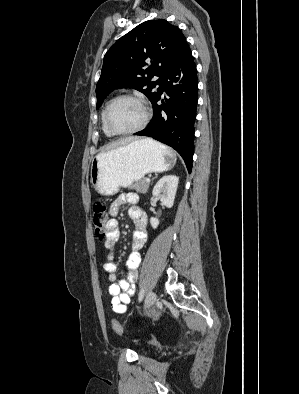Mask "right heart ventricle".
Here are the masks:
<instances>
[{
  "label": "right heart ventricle",
  "mask_w": 299,
  "mask_h": 394,
  "mask_svg": "<svg viewBox=\"0 0 299 394\" xmlns=\"http://www.w3.org/2000/svg\"><path fill=\"white\" fill-rule=\"evenodd\" d=\"M107 105H108V103L105 105V107H104V109H103V111H102V114H101L102 130H103V132H104V134H105L106 136L112 137L113 134H111V133L108 131V129L106 128L105 122H104V115H105V110H106Z\"/></svg>",
  "instance_id": "1"
}]
</instances>
